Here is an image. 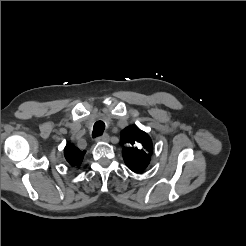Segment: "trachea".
<instances>
[{
    "label": "trachea",
    "instance_id": "3493384b",
    "mask_svg": "<svg viewBox=\"0 0 246 246\" xmlns=\"http://www.w3.org/2000/svg\"><path fill=\"white\" fill-rule=\"evenodd\" d=\"M104 129H105L104 122L97 121L94 124V129H93V132H92L93 138L98 137V136H101L103 134V132H104Z\"/></svg>",
    "mask_w": 246,
    "mask_h": 246
}]
</instances>
